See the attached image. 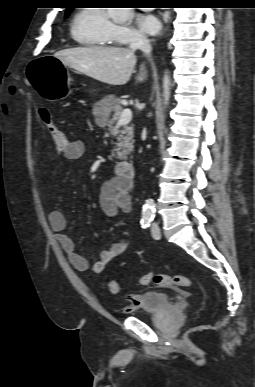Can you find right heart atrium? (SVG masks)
<instances>
[{
	"label": "right heart atrium",
	"mask_w": 255,
	"mask_h": 387,
	"mask_svg": "<svg viewBox=\"0 0 255 387\" xmlns=\"http://www.w3.org/2000/svg\"><path fill=\"white\" fill-rule=\"evenodd\" d=\"M111 37L113 42L120 45H130L146 40L144 34L128 24H113Z\"/></svg>",
	"instance_id": "right-heart-atrium-1"
}]
</instances>
